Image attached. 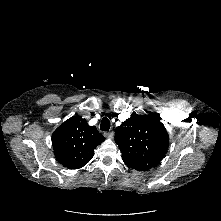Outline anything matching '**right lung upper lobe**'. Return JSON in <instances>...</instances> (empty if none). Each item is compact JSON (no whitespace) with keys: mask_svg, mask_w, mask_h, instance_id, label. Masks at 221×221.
<instances>
[{"mask_svg":"<svg viewBox=\"0 0 221 221\" xmlns=\"http://www.w3.org/2000/svg\"><path fill=\"white\" fill-rule=\"evenodd\" d=\"M104 140L96 127L89 126L80 116L66 120L52 135L55 157L68 169L86 165L93 157L94 149Z\"/></svg>","mask_w":221,"mask_h":221,"instance_id":"right-lung-upper-lobe-1","label":"right lung upper lobe"}]
</instances>
